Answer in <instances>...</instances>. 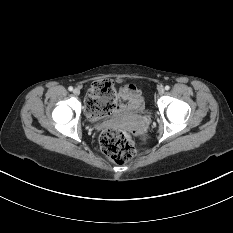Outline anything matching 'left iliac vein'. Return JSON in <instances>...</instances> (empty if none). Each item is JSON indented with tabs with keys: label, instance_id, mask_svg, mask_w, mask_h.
<instances>
[{
	"label": "left iliac vein",
	"instance_id": "4c4485c4",
	"mask_svg": "<svg viewBox=\"0 0 233 233\" xmlns=\"http://www.w3.org/2000/svg\"><path fill=\"white\" fill-rule=\"evenodd\" d=\"M158 93H159L160 95H163V94L165 93L164 88L160 87V88L158 89Z\"/></svg>",
	"mask_w": 233,
	"mask_h": 233
}]
</instances>
